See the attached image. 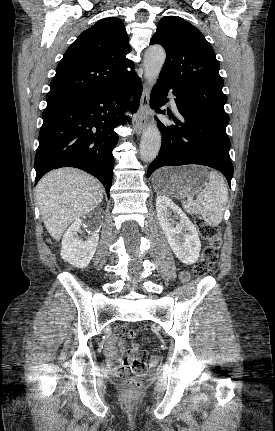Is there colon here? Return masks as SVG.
Instances as JSON below:
<instances>
[{
  "mask_svg": "<svg viewBox=\"0 0 275 431\" xmlns=\"http://www.w3.org/2000/svg\"><path fill=\"white\" fill-rule=\"evenodd\" d=\"M195 223L200 236L208 242L193 269L195 275L202 277L213 270L218 259V251L222 238L219 227L208 224L202 217H197ZM128 337L134 339L136 333L131 330L128 332ZM131 349L137 352L139 351V345L133 344ZM147 359H149L148 364L151 366L156 365L159 361L158 356L153 355L148 357L147 352L142 351L131 362H125L119 368V375L124 378V386L128 393L134 394L141 389L142 383L138 375L146 367Z\"/></svg>",
  "mask_w": 275,
  "mask_h": 431,
  "instance_id": "1",
  "label": "colon"
}]
</instances>
